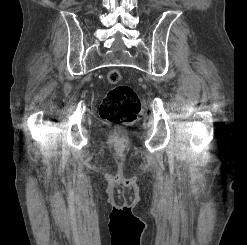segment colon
<instances>
[{
  "label": "colon",
  "mask_w": 247,
  "mask_h": 245,
  "mask_svg": "<svg viewBox=\"0 0 247 245\" xmlns=\"http://www.w3.org/2000/svg\"><path fill=\"white\" fill-rule=\"evenodd\" d=\"M121 79L119 70H109L107 80L114 87L106 94L100 106L101 118L112 124L131 123L141 110L136 91L128 85L119 84Z\"/></svg>",
  "instance_id": "colon-1"
}]
</instances>
